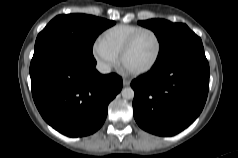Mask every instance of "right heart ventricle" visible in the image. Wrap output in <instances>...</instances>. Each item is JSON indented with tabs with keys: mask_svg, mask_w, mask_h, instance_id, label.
Masks as SVG:
<instances>
[{
	"mask_svg": "<svg viewBox=\"0 0 238 158\" xmlns=\"http://www.w3.org/2000/svg\"><path fill=\"white\" fill-rule=\"evenodd\" d=\"M140 29H143V27L131 24H118L105 30L100 40L119 56L129 38Z\"/></svg>",
	"mask_w": 238,
	"mask_h": 158,
	"instance_id": "right-heart-ventricle-1",
	"label": "right heart ventricle"
}]
</instances>
